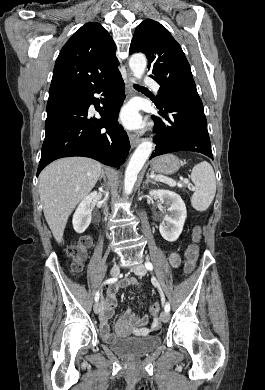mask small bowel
<instances>
[{
  "instance_id": "small-bowel-1",
  "label": "small bowel",
  "mask_w": 265,
  "mask_h": 390,
  "mask_svg": "<svg viewBox=\"0 0 265 390\" xmlns=\"http://www.w3.org/2000/svg\"><path fill=\"white\" fill-rule=\"evenodd\" d=\"M169 261L175 268H177L181 263L180 256L175 252H171L169 254ZM127 286H134L140 292H143L141 284L135 278L124 279L119 283L111 285L107 289L100 316V332L106 341H110L114 337V334L109 330L108 321L114 313V308L116 306V293L120 288ZM117 325L121 331L132 330L134 333L139 335H146L149 333L151 328L156 329L159 327V323L156 320L150 324V317L148 315H141L133 311L131 308L126 309L120 314Z\"/></svg>"
}]
</instances>
